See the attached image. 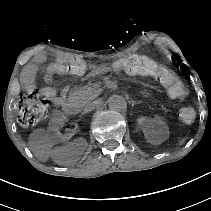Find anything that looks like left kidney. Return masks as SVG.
Masks as SVG:
<instances>
[{
	"label": "left kidney",
	"instance_id": "5707ae66",
	"mask_svg": "<svg viewBox=\"0 0 211 211\" xmlns=\"http://www.w3.org/2000/svg\"><path fill=\"white\" fill-rule=\"evenodd\" d=\"M165 126H166V121L163 118H157L154 121L142 120L139 123L140 130L144 132H155L157 130L165 128Z\"/></svg>",
	"mask_w": 211,
	"mask_h": 211
}]
</instances>
